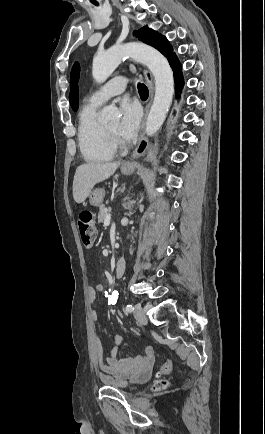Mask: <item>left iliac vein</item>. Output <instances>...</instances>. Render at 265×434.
I'll return each instance as SVG.
<instances>
[{
    "mask_svg": "<svg viewBox=\"0 0 265 434\" xmlns=\"http://www.w3.org/2000/svg\"><path fill=\"white\" fill-rule=\"evenodd\" d=\"M134 317L139 324H147V317L141 304H135Z\"/></svg>",
    "mask_w": 265,
    "mask_h": 434,
    "instance_id": "obj_1",
    "label": "left iliac vein"
}]
</instances>
